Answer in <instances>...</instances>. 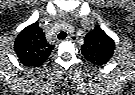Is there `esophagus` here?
Listing matches in <instances>:
<instances>
[{"label":"esophagus","instance_id":"obj_1","mask_svg":"<svg viewBox=\"0 0 135 95\" xmlns=\"http://www.w3.org/2000/svg\"><path fill=\"white\" fill-rule=\"evenodd\" d=\"M66 40H67V41H72V42H74V41L77 40V36H76V35H70V36H68V37L66 38Z\"/></svg>","mask_w":135,"mask_h":95}]
</instances>
